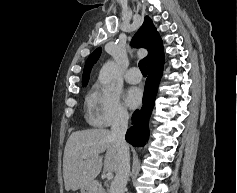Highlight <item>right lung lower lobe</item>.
<instances>
[{"label": "right lung lower lobe", "instance_id": "1", "mask_svg": "<svg viewBox=\"0 0 237 193\" xmlns=\"http://www.w3.org/2000/svg\"><path fill=\"white\" fill-rule=\"evenodd\" d=\"M164 57L147 65L148 78L146 80L141 110H136L132 116V126L127 130L126 141L131 145L143 146L149 136L148 124L154 107L158 85L162 76Z\"/></svg>", "mask_w": 237, "mask_h": 193}]
</instances>
